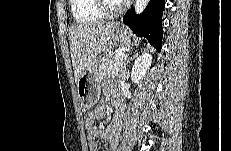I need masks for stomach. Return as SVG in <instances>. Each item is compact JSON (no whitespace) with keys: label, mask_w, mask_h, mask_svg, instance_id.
<instances>
[{"label":"stomach","mask_w":231,"mask_h":151,"mask_svg":"<svg viewBox=\"0 0 231 151\" xmlns=\"http://www.w3.org/2000/svg\"><path fill=\"white\" fill-rule=\"evenodd\" d=\"M113 41L116 45L129 46L131 40L128 30L116 27ZM102 60L103 56L94 58L77 82L78 98L86 109L92 108L100 98L101 89L98 70Z\"/></svg>","instance_id":"0dacf381"}]
</instances>
